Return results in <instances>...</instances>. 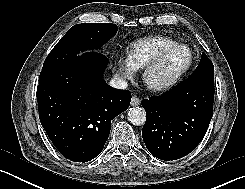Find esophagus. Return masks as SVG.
<instances>
[{
    "label": "esophagus",
    "mask_w": 245,
    "mask_h": 189,
    "mask_svg": "<svg viewBox=\"0 0 245 189\" xmlns=\"http://www.w3.org/2000/svg\"><path fill=\"white\" fill-rule=\"evenodd\" d=\"M141 101L137 96H132L131 98V105L132 106H138L140 105Z\"/></svg>",
    "instance_id": "1"
}]
</instances>
